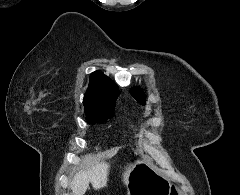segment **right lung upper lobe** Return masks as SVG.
Wrapping results in <instances>:
<instances>
[{"mask_svg": "<svg viewBox=\"0 0 240 195\" xmlns=\"http://www.w3.org/2000/svg\"><path fill=\"white\" fill-rule=\"evenodd\" d=\"M118 95L119 89L115 82L103 73L95 71L90 75L83 103H115Z\"/></svg>", "mask_w": 240, "mask_h": 195, "instance_id": "1", "label": "right lung upper lobe"}]
</instances>
